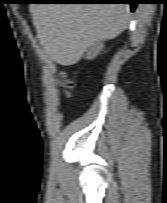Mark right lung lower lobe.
<instances>
[{"label": "right lung lower lobe", "mask_w": 167, "mask_h": 203, "mask_svg": "<svg viewBox=\"0 0 167 203\" xmlns=\"http://www.w3.org/2000/svg\"><path fill=\"white\" fill-rule=\"evenodd\" d=\"M81 3H128L131 5V11L135 10L136 1L135 0H81Z\"/></svg>", "instance_id": "obj_1"}]
</instances>
